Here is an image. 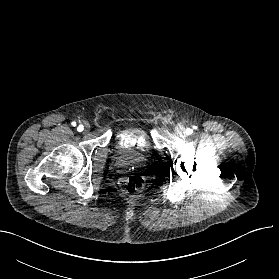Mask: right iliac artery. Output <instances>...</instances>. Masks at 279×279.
Returning a JSON list of instances; mask_svg holds the SVG:
<instances>
[{
  "mask_svg": "<svg viewBox=\"0 0 279 279\" xmlns=\"http://www.w3.org/2000/svg\"><path fill=\"white\" fill-rule=\"evenodd\" d=\"M72 125H73V126H76V122H72ZM83 129H84L83 125H79L78 128H77V130H78L79 132L83 131Z\"/></svg>",
  "mask_w": 279,
  "mask_h": 279,
  "instance_id": "1",
  "label": "right iliac artery"
}]
</instances>
